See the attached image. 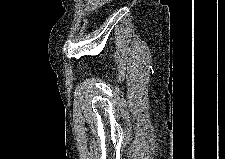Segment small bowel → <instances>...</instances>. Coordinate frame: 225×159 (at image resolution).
<instances>
[{
	"label": "small bowel",
	"instance_id": "c3829d8e",
	"mask_svg": "<svg viewBox=\"0 0 225 159\" xmlns=\"http://www.w3.org/2000/svg\"><path fill=\"white\" fill-rule=\"evenodd\" d=\"M103 4L102 0H91L87 2L86 10L88 12L95 11L98 7H100Z\"/></svg>",
	"mask_w": 225,
	"mask_h": 159
}]
</instances>
